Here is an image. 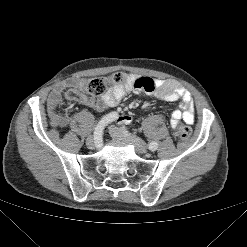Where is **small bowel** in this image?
I'll return each mask as SVG.
<instances>
[{"label":"small bowel","instance_id":"small-bowel-1","mask_svg":"<svg viewBox=\"0 0 247 247\" xmlns=\"http://www.w3.org/2000/svg\"><path fill=\"white\" fill-rule=\"evenodd\" d=\"M131 79L133 81L139 80L142 84L140 86H135L132 83L128 85H114L98 99L83 93L77 101L102 111L118 104L130 91L145 93L157 99L169 102L180 101V107L171 113L170 125L173 129H175L181 121L189 125L193 124L195 111L194 101L190 92L185 88L170 80H154L149 77H132ZM83 81L84 80L66 81L56 85L51 91L47 99V112L52 126H64L69 123V118L58 110L62 101V94L65 89L82 87ZM119 121L128 124L131 122V117L123 116Z\"/></svg>","mask_w":247,"mask_h":247}]
</instances>
